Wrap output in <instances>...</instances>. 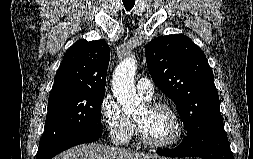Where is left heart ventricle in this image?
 <instances>
[{
    "instance_id": "1",
    "label": "left heart ventricle",
    "mask_w": 253,
    "mask_h": 159,
    "mask_svg": "<svg viewBox=\"0 0 253 159\" xmlns=\"http://www.w3.org/2000/svg\"><path fill=\"white\" fill-rule=\"evenodd\" d=\"M146 137L152 141L165 142L176 134V122L164 109H152L145 105L136 115Z\"/></svg>"
}]
</instances>
